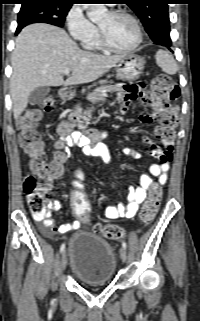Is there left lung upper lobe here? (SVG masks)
I'll list each match as a JSON object with an SVG mask.
<instances>
[{"instance_id": "1", "label": "left lung upper lobe", "mask_w": 200, "mask_h": 321, "mask_svg": "<svg viewBox=\"0 0 200 321\" xmlns=\"http://www.w3.org/2000/svg\"><path fill=\"white\" fill-rule=\"evenodd\" d=\"M136 13L155 44L165 46L171 42L169 0H124Z\"/></svg>"}]
</instances>
